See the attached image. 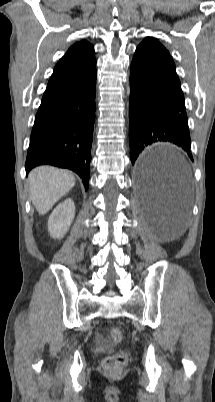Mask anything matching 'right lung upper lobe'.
I'll return each instance as SVG.
<instances>
[{"label":"right lung upper lobe","mask_w":215,"mask_h":402,"mask_svg":"<svg viewBox=\"0 0 215 402\" xmlns=\"http://www.w3.org/2000/svg\"><path fill=\"white\" fill-rule=\"evenodd\" d=\"M95 74L96 59L93 45L85 40L73 44L56 64L42 101L81 86Z\"/></svg>","instance_id":"obj_1"}]
</instances>
